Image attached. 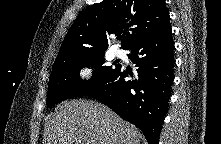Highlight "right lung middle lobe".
<instances>
[{"label": "right lung middle lobe", "mask_w": 221, "mask_h": 144, "mask_svg": "<svg viewBox=\"0 0 221 144\" xmlns=\"http://www.w3.org/2000/svg\"><path fill=\"white\" fill-rule=\"evenodd\" d=\"M104 53L92 55L81 60L67 62L53 67L48 83L47 107L70 97L85 96L88 92L99 87L109 80L119 68L103 66ZM84 67L96 68L92 78L84 81L79 76L80 69Z\"/></svg>", "instance_id": "right-lung-middle-lobe-1"}]
</instances>
